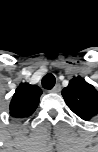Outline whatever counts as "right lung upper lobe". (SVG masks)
<instances>
[{
	"label": "right lung upper lobe",
	"instance_id": "cb5924a9",
	"mask_svg": "<svg viewBox=\"0 0 98 152\" xmlns=\"http://www.w3.org/2000/svg\"><path fill=\"white\" fill-rule=\"evenodd\" d=\"M42 90L36 85L21 83L10 102V115L14 118H26L33 114L39 104Z\"/></svg>",
	"mask_w": 98,
	"mask_h": 152
}]
</instances>
